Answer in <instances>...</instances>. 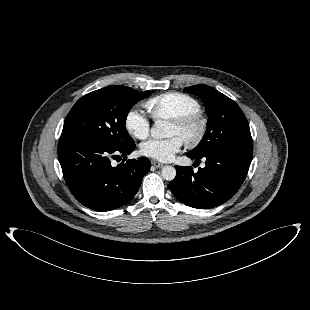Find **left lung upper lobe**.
<instances>
[{
    "mask_svg": "<svg viewBox=\"0 0 310 310\" xmlns=\"http://www.w3.org/2000/svg\"><path fill=\"white\" fill-rule=\"evenodd\" d=\"M184 90L199 96L208 114L207 130L198 146L190 151L192 155L200 158L219 149L251 145L247 119L232 99L204 84Z\"/></svg>",
    "mask_w": 310,
    "mask_h": 310,
    "instance_id": "1",
    "label": "left lung upper lobe"
}]
</instances>
